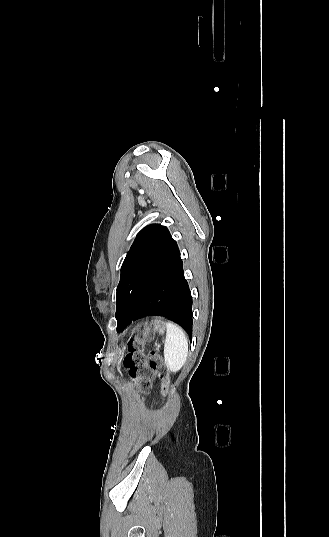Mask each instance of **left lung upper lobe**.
Masks as SVG:
<instances>
[{"mask_svg": "<svg viewBox=\"0 0 329 537\" xmlns=\"http://www.w3.org/2000/svg\"><path fill=\"white\" fill-rule=\"evenodd\" d=\"M178 253L177 243L165 226L152 224L137 234L121 267L116 297L117 328L153 278Z\"/></svg>", "mask_w": 329, "mask_h": 537, "instance_id": "left-lung-upper-lobe-1", "label": "left lung upper lobe"}]
</instances>
